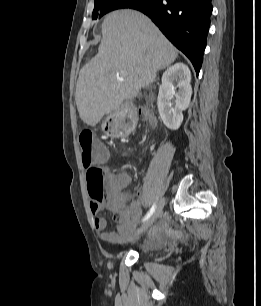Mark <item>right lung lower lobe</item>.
Returning a JSON list of instances; mask_svg holds the SVG:
<instances>
[{"mask_svg": "<svg viewBox=\"0 0 261 306\" xmlns=\"http://www.w3.org/2000/svg\"><path fill=\"white\" fill-rule=\"evenodd\" d=\"M130 8L150 17L190 59L198 75L213 9L211 0H141Z\"/></svg>", "mask_w": 261, "mask_h": 306, "instance_id": "98d812e1", "label": "right lung lower lobe"}]
</instances>
